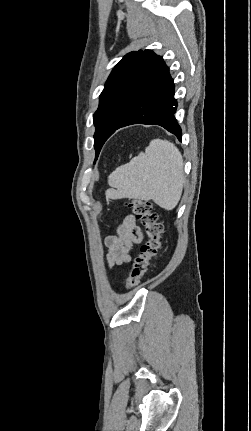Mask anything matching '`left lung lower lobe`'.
Returning <instances> with one entry per match:
<instances>
[{"mask_svg": "<svg viewBox=\"0 0 251 431\" xmlns=\"http://www.w3.org/2000/svg\"><path fill=\"white\" fill-rule=\"evenodd\" d=\"M176 108L173 79L160 57L112 134L132 124H156L181 141L182 131L174 116Z\"/></svg>", "mask_w": 251, "mask_h": 431, "instance_id": "left-lung-lower-lobe-1", "label": "left lung lower lobe"}]
</instances>
